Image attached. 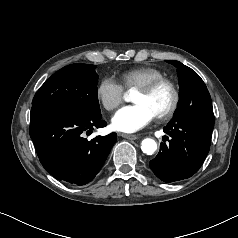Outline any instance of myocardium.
<instances>
[{"mask_svg": "<svg viewBox=\"0 0 238 238\" xmlns=\"http://www.w3.org/2000/svg\"><path fill=\"white\" fill-rule=\"evenodd\" d=\"M163 85L168 86L169 89L171 90L172 102L166 111L156 115V117L160 120H166L171 118L178 109V106L180 103V92L177 85L171 79L166 77H161V78L154 79L137 89V91L142 92L144 94H151L156 89H158L159 87Z\"/></svg>", "mask_w": 238, "mask_h": 238, "instance_id": "obj_1", "label": "myocardium"}]
</instances>
